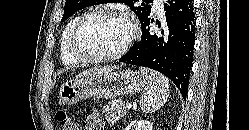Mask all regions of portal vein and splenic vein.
Segmentation results:
<instances>
[{
  "label": "portal vein and splenic vein",
  "instance_id": "portal-vein-and-splenic-vein-1",
  "mask_svg": "<svg viewBox=\"0 0 249 130\" xmlns=\"http://www.w3.org/2000/svg\"><path fill=\"white\" fill-rule=\"evenodd\" d=\"M126 108L127 109H131L132 108V104L131 103H126Z\"/></svg>",
  "mask_w": 249,
  "mask_h": 130
}]
</instances>
